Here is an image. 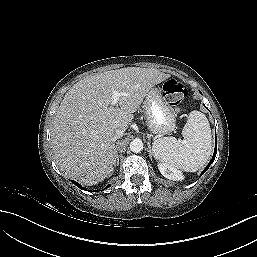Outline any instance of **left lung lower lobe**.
Wrapping results in <instances>:
<instances>
[{
  "label": "left lung lower lobe",
  "instance_id": "0a47b994",
  "mask_svg": "<svg viewBox=\"0 0 257 257\" xmlns=\"http://www.w3.org/2000/svg\"><path fill=\"white\" fill-rule=\"evenodd\" d=\"M215 141H216V138H215ZM216 153H217V144L215 142V150H214V154H213V157L212 159L210 160L209 164L207 165V167L204 169V171L201 173V176L205 173V171H207V169L210 167V165L212 164V162L214 161L215 159V156H216Z\"/></svg>",
  "mask_w": 257,
  "mask_h": 257
}]
</instances>
